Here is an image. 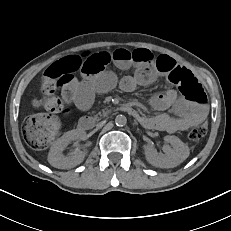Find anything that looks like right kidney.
Instances as JSON below:
<instances>
[{"label": "right kidney", "mask_w": 231, "mask_h": 231, "mask_svg": "<svg viewBox=\"0 0 231 231\" xmlns=\"http://www.w3.org/2000/svg\"><path fill=\"white\" fill-rule=\"evenodd\" d=\"M86 133L81 130H71L57 139L48 154V162L55 168L67 169L80 164L85 157V153L80 150H75L68 155H63V150L74 140H84Z\"/></svg>", "instance_id": "ca27d5eb"}]
</instances>
